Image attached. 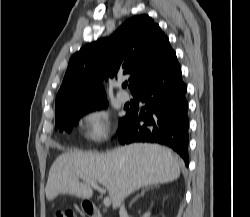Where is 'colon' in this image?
I'll return each instance as SVG.
<instances>
[{
  "label": "colon",
  "instance_id": "1",
  "mask_svg": "<svg viewBox=\"0 0 250 217\" xmlns=\"http://www.w3.org/2000/svg\"><path fill=\"white\" fill-rule=\"evenodd\" d=\"M55 217H76V214L68 209H60L57 211Z\"/></svg>",
  "mask_w": 250,
  "mask_h": 217
}]
</instances>
